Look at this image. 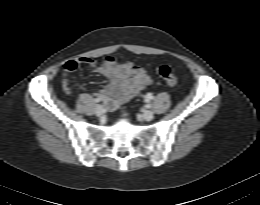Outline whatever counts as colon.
Returning <instances> with one entry per match:
<instances>
[{
  "instance_id": "obj_1",
  "label": "colon",
  "mask_w": 260,
  "mask_h": 205,
  "mask_svg": "<svg viewBox=\"0 0 260 205\" xmlns=\"http://www.w3.org/2000/svg\"><path fill=\"white\" fill-rule=\"evenodd\" d=\"M159 76L170 86L177 84V76L174 70L168 65H161L158 68Z\"/></svg>"
}]
</instances>
